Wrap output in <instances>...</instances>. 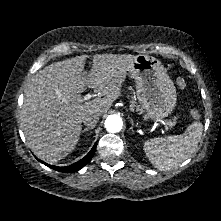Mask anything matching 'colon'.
<instances>
[{
  "instance_id": "colon-1",
  "label": "colon",
  "mask_w": 221,
  "mask_h": 221,
  "mask_svg": "<svg viewBox=\"0 0 221 221\" xmlns=\"http://www.w3.org/2000/svg\"><path fill=\"white\" fill-rule=\"evenodd\" d=\"M177 86L182 89L185 88V86H186L185 80L183 78L179 77L177 79ZM190 114H191V117L194 119H198L200 117V112L197 109H192L190 111Z\"/></svg>"
}]
</instances>
